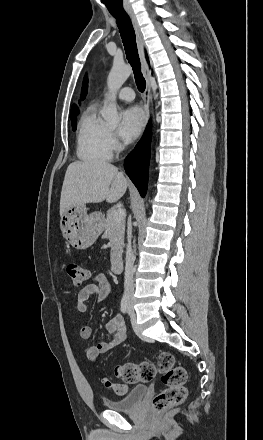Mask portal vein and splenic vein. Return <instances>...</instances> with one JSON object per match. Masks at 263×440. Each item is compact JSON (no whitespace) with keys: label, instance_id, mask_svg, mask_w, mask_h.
<instances>
[{"label":"portal vein and splenic vein","instance_id":"portal-vein-and-splenic-vein-1","mask_svg":"<svg viewBox=\"0 0 263 440\" xmlns=\"http://www.w3.org/2000/svg\"><path fill=\"white\" fill-rule=\"evenodd\" d=\"M125 216H126V214H125V210L122 209V208L117 209V210L115 211V213H114V218H115V221H117V222H119V221H121L122 219H124Z\"/></svg>","mask_w":263,"mask_h":440}]
</instances>
